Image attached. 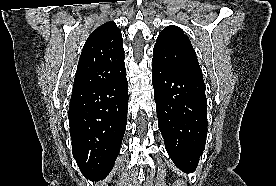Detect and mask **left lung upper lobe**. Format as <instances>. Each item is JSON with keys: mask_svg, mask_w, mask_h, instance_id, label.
Masks as SVG:
<instances>
[{"mask_svg": "<svg viewBox=\"0 0 276 186\" xmlns=\"http://www.w3.org/2000/svg\"><path fill=\"white\" fill-rule=\"evenodd\" d=\"M152 61L154 64L203 79L195 50L187 35L177 26H168L159 33Z\"/></svg>", "mask_w": 276, "mask_h": 186, "instance_id": "1", "label": "left lung upper lobe"}]
</instances>
